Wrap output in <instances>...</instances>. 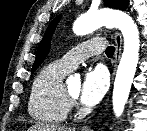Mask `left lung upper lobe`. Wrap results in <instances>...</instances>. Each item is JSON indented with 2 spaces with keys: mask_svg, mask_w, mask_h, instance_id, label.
<instances>
[{
  "mask_svg": "<svg viewBox=\"0 0 147 131\" xmlns=\"http://www.w3.org/2000/svg\"><path fill=\"white\" fill-rule=\"evenodd\" d=\"M106 6L115 9L124 10L128 6V0H104ZM61 15L57 16L48 26L43 39L41 40L36 55V59L33 64L32 73L38 68V66L43 62L47 56L50 49V40L53 35V32L60 21Z\"/></svg>",
  "mask_w": 147,
  "mask_h": 131,
  "instance_id": "5c2ea615",
  "label": "left lung upper lobe"
}]
</instances>
